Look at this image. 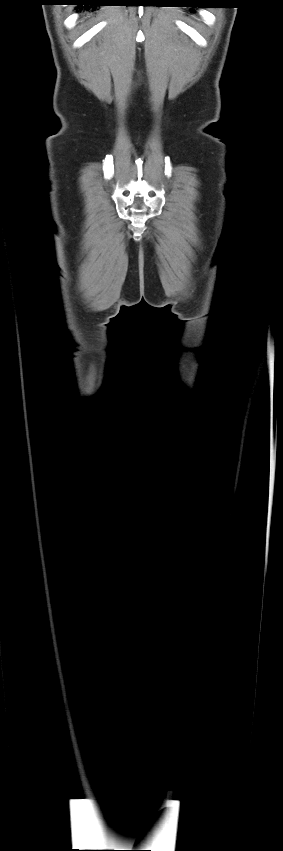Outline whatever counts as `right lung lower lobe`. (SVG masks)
Segmentation results:
<instances>
[{"mask_svg": "<svg viewBox=\"0 0 283 851\" xmlns=\"http://www.w3.org/2000/svg\"><path fill=\"white\" fill-rule=\"evenodd\" d=\"M71 1L77 2L78 5H86V6H88V5H90V6L102 5V4H100L101 3L100 0H71Z\"/></svg>", "mask_w": 283, "mask_h": 851, "instance_id": "98d812e1", "label": "right lung lower lobe"}]
</instances>
